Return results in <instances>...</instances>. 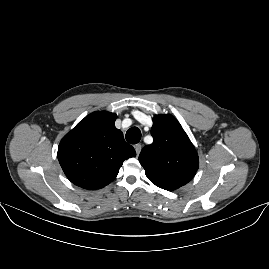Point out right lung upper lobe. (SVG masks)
<instances>
[{
    "label": "right lung upper lobe",
    "mask_w": 269,
    "mask_h": 269,
    "mask_svg": "<svg viewBox=\"0 0 269 269\" xmlns=\"http://www.w3.org/2000/svg\"><path fill=\"white\" fill-rule=\"evenodd\" d=\"M116 118L107 111L91 113L61 140L58 160L75 185L88 190L103 188L116 178L124 160L136 156L115 127Z\"/></svg>",
    "instance_id": "cb5924a9"
}]
</instances>
